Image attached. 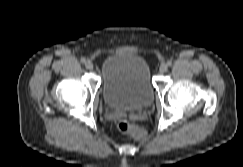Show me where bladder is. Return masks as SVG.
Masks as SVG:
<instances>
[{"label":"bladder","mask_w":243,"mask_h":167,"mask_svg":"<svg viewBox=\"0 0 243 167\" xmlns=\"http://www.w3.org/2000/svg\"><path fill=\"white\" fill-rule=\"evenodd\" d=\"M102 94L114 110L138 111L150 108L154 90L146 60L134 53L116 52L102 63Z\"/></svg>","instance_id":"31cf9c89"}]
</instances>
